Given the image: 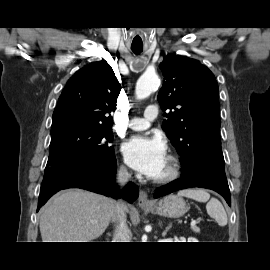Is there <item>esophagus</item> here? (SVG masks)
Masks as SVG:
<instances>
[{
    "label": "esophagus",
    "mask_w": 270,
    "mask_h": 270,
    "mask_svg": "<svg viewBox=\"0 0 270 270\" xmlns=\"http://www.w3.org/2000/svg\"><path fill=\"white\" fill-rule=\"evenodd\" d=\"M138 205L141 207L152 205V202L148 199L147 193L143 190H141L139 193Z\"/></svg>",
    "instance_id": "34e87169"
}]
</instances>
